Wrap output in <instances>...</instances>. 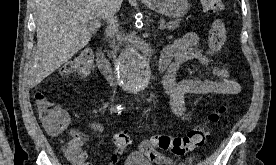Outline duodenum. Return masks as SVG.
<instances>
[{"label": "duodenum", "instance_id": "obj_1", "mask_svg": "<svg viewBox=\"0 0 276 165\" xmlns=\"http://www.w3.org/2000/svg\"><path fill=\"white\" fill-rule=\"evenodd\" d=\"M96 60H97V65L101 73L106 77V79L112 84L116 85V73L114 71V68L107 58L106 54L104 53L103 50L99 49L97 51L96 55ZM168 67V61L164 58H160L159 63H158V71L163 72L167 69Z\"/></svg>", "mask_w": 276, "mask_h": 165}]
</instances>
